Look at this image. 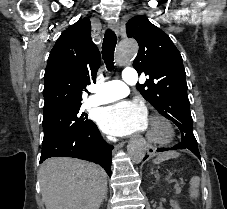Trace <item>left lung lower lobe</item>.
Masks as SVG:
<instances>
[{"label": "left lung lower lobe", "instance_id": "left-lung-lower-lobe-1", "mask_svg": "<svg viewBox=\"0 0 227 209\" xmlns=\"http://www.w3.org/2000/svg\"><path fill=\"white\" fill-rule=\"evenodd\" d=\"M170 149H189L201 160L199 150L190 149V148H188L186 146L181 145L180 143L177 144L176 146L170 148ZM166 150H168V148H160V149L157 150V152L166 151Z\"/></svg>", "mask_w": 227, "mask_h": 209}]
</instances>
